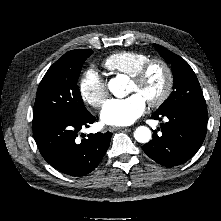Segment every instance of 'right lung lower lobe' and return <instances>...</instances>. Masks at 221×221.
<instances>
[{
	"instance_id": "right-lung-lower-lobe-1",
	"label": "right lung lower lobe",
	"mask_w": 221,
	"mask_h": 221,
	"mask_svg": "<svg viewBox=\"0 0 221 221\" xmlns=\"http://www.w3.org/2000/svg\"><path fill=\"white\" fill-rule=\"evenodd\" d=\"M95 117L88 111L80 116H66L33 124V135L44 159L64 174L83 176L93 171L109 145L112 133L89 134L76 139L82 127H89Z\"/></svg>"
}]
</instances>
